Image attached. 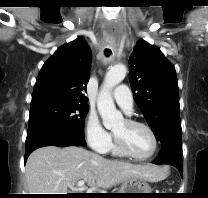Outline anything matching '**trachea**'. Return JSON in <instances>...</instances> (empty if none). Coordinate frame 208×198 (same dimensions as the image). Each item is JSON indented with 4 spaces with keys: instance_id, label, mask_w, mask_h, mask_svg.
I'll list each match as a JSON object with an SVG mask.
<instances>
[{
    "instance_id": "obj_1",
    "label": "trachea",
    "mask_w": 208,
    "mask_h": 198,
    "mask_svg": "<svg viewBox=\"0 0 208 198\" xmlns=\"http://www.w3.org/2000/svg\"><path fill=\"white\" fill-rule=\"evenodd\" d=\"M111 54V50H107L105 49V55L108 57Z\"/></svg>"
}]
</instances>
